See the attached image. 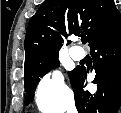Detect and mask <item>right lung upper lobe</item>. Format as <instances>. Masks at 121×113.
I'll list each match as a JSON object with an SVG mask.
<instances>
[{"label": "right lung upper lobe", "mask_w": 121, "mask_h": 113, "mask_svg": "<svg viewBox=\"0 0 121 113\" xmlns=\"http://www.w3.org/2000/svg\"><path fill=\"white\" fill-rule=\"evenodd\" d=\"M120 25L114 0H45L28 24L24 68L58 55L71 34H86L90 46Z\"/></svg>", "instance_id": "right-lung-upper-lobe-1"}]
</instances>
